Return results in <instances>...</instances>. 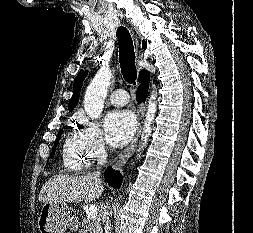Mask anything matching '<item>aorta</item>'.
I'll list each match as a JSON object with an SVG mask.
<instances>
[{"label": "aorta", "mask_w": 253, "mask_h": 233, "mask_svg": "<svg viewBox=\"0 0 253 233\" xmlns=\"http://www.w3.org/2000/svg\"><path fill=\"white\" fill-rule=\"evenodd\" d=\"M111 78L112 71L110 69H101L86 89L84 109L88 117L92 120L98 119L101 116ZM156 96L155 91H153L149 98L139 151L147 145L148 139L151 136L152 124L157 110Z\"/></svg>", "instance_id": "aorta-1"}]
</instances>
